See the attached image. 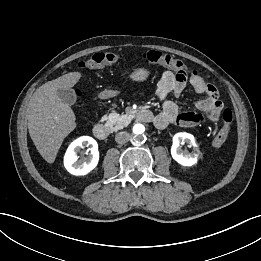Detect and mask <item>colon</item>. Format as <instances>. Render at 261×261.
Instances as JSON below:
<instances>
[{"mask_svg":"<svg viewBox=\"0 0 261 261\" xmlns=\"http://www.w3.org/2000/svg\"><path fill=\"white\" fill-rule=\"evenodd\" d=\"M143 60L152 63L165 66L173 69L177 72L188 74L189 70L186 65L179 59L156 50H150L142 54ZM122 59V55L115 52H97L88 57L85 61L80 63V67L87 70H93L105 65H111L119 62ZM196 72H192V75ZM233 120V114L231 110L226 109L222 113L223 125L217 132L213 139V145L219 148L224 145L230 132L231 124Z\"/></svg>","mask_w":261,"mask_h":261,"instance_id":"obj_1","label":"colon"}]
</instances>
